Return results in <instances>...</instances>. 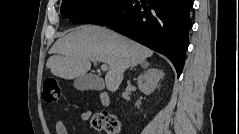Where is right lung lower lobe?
Returning a JSON list of instances; mask_svg holds the SVG:
<instances>
[{"instance_id": "right-lung-lower-lobe-1", "label": "right lung lower lobe", "mask_w": 239, "mask_h": 134, "mask_svg": "<svg viewBox=\"0 0 239 134\" xmlns=\"http://www.w3.org/2000/svg\"><path fill=\"white\" fill-rule=\"evenodd\" d=\"M192 0H120L89 20L167 56L181 75L188 47Z\"/></svg>"}]
</instances>
